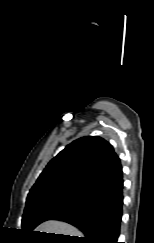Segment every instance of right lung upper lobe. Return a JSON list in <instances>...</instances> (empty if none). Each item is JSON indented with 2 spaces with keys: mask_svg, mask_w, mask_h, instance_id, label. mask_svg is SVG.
I'll return each instance as SVG.
<instances>
[{
  "mask_svg": "<svg viewBox=\"0 0 154 243\" xmlns=\"http://www.w3.org/2000/svg\"><path fill=\"white\" fill-rule=\"evenodd\" d=\"M122 177L121 163L113 147L97 136L82 137L48 163L27 201L50 195L88 200Z\"/></svg>",
  "mask_w": 154,
  "mask_h": 243,
  "instance_id": "obj_1",
  "label": "right lung upper lobe"
}]
</instances>
